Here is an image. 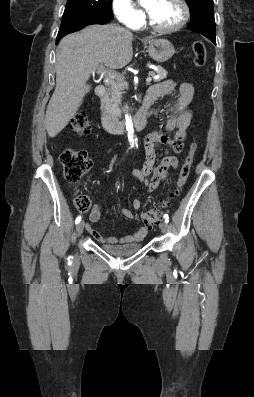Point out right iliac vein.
Here are the masks:
<instances>
[{
	"label": "right iliac vein",
	"instance_id": "1",
	"mask_svg": "<svg viewBox=\"0 0 254 397\" xmlns=\"http://www.w3.org/2000/svg\"><path fill=\"white\" fill-rule=\"evenodd\" d=\"M83 230H84V221H81L78 223L76 227L77 236H80L83 233Z\"/></svg>",
	"mask_w": 254,
	"mask_h": 397
}]
</instances>
